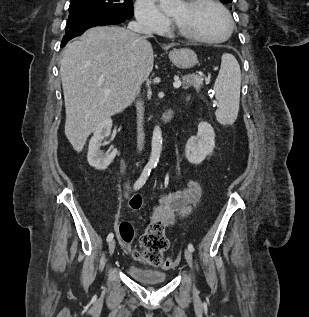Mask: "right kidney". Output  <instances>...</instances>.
<instances>
[{"label":"right kidney","mask_w":309,"mask_h":317,"mask_svg":"<svg viewBox=\"0 0 309 317\" xmlns=\"http://www.w3.org/2000/svg\"><path fill=\"white\" fill-rule=\"evenodd\" d=\"M112 120L110 118L103 120L94 130L93 136L89 142L87 160L90 166L96 170H105L117 155V149L104 154L100 151V146L105 137L110 135Z\"/></svg>","instance_id":"1"}]
</instances>
